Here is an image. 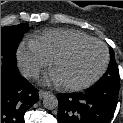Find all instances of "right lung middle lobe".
Masks as SVG:
<instances>
[{
    "mask_svg": "<svg viewBox=\"0 0 123 123\" xmlns=\"http://www.w3.org/2000/svg\"><path fill=\"white\" fill-rule=\"evenodd\" d=\"M27 30L28 24L26 23L1 28V56L4 59L16 63V49Z\"/></svg>",
    "mask_w": 123,
    "mask_h": 123,
    "instance_id": "1",
    "label": "right lung middle lobe"
}]
</instances>
